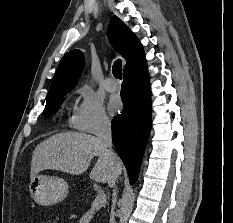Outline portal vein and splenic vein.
<instances>
[{
	"instance_id": "obj_1",
	"label": "portal vein and splenic vein",
	"mask_w": 233,
	"mask_h": 223,
	"mask_svg": "<svg viewBox=\"0 0 233 223\" xmlns=\"http://www.w3.org/2000/svg\"><path fill=\"white\" fill-rule=\"evenodd\" d=\"M106 201H107L106 193H98V195H96L93 201V205H98V207H101V205H104Z\"/></svg>"
}]
</instances>
